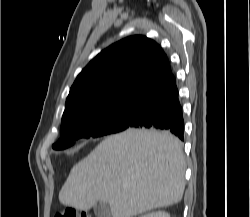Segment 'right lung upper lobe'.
<instances>
[{"instance_id":"obj_1","label":"right lung upper lobe","mask_w":250,"mask_h":217,"mask_svg":"<svg viewBox=\"0 0 250 217\" xmlns=\"http://www.w3.org/2000/svg\"><path fill=\"white\" fill-rule=\"evenodd\" d=\"M173 76L161 47L145 36L127 37L99 53L77 76L62 122L82 112L138 101Z\"/></svg>"}]
</instances>
